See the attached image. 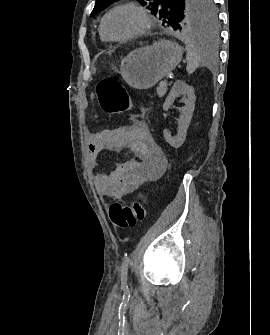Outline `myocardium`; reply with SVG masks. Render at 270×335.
Instances as JSON below:
<instances>
[{
    "instance_id": "obj_1",
    "label": "myocardium",
    "mask_w": 270,
    "mask_h": 335,
    "mask_svg": "<svg viewBox=\"0 0 270 335\" xmlns=\"http://www.w3.org/2000/svg\"><path fill=\"white\" fill-rule=\"evenodd\" d=\"M124 7H129L132 8L134 10H136L143 18V26L132 33H129L127 35L121 36V37H113L111 36L106 28V21L108 19V17L110 16L111 13H113L114 11L124 8ZM153 25V18L152 16L149 14V12L144 8V6H142L139 3L136 2H124V3H120L117 6L113 7L112 9H110L102 18L101 20V24H100V28L101 31L103 32V34L105 35L106 38H108L109 40H113V41H126V40H131L134 39L136 37H139L141 35H144L145 33H147L151 27ZM132 52H140L139 49L134 50ZM126 78H130V77H126Z\"/></svg>"
}]
</instances>
